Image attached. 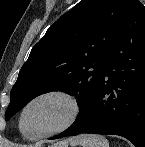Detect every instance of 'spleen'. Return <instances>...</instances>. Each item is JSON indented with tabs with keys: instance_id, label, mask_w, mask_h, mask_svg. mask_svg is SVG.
<instances>
[{
	"instance_id": "3e777b00",
	"label": "spleen",
	"mask_w": 145,
	"mask_h": 147,
	"mask_svg": "<svg viewBox=\"0 0 145 147\" xmlns=\"http://www.w3.org/2000/svg\"><path fill=\"white\" fill-rule=\"evenodd\" d=\"M75 145H81L82 147H109L108 140L100 135H81L77 137Z\"/></svg>"
}]
</instances>
